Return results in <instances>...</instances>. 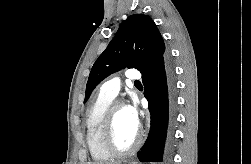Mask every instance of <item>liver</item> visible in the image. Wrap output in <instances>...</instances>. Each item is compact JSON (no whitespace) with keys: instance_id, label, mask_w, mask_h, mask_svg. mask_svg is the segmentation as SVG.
<instances>
[{"instance_id":"1","label":"liver","mask_w":251,"mask_h":164,"mask_svg":"<svg viewBox=\"0 0 251 164\" xmlns=\"http://www.w3.org/2000/svg\"><path fill=\"white\" fill-rule=\"evenodd\" d=\"M89 164H119V163H89Z\"/></svg>"}]
</instances>
